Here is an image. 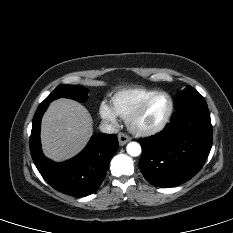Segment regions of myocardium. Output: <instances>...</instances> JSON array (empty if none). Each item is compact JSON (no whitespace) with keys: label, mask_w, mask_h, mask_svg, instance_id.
I'll return each mask as SVG.
<instances>
[{"label":"myocardium","mask_w":233,"mask_h":233,"mask_svg":"<svg viewBox=\"0 0 233 233\" xmlns=\"http://www.w3.org/2000/svg\"><path fill=\"white\" fill-rule=\"evenodd\" d=\"M165 95L169 99V109L164 119L155 127L152 128H140L137 126L136 121L138 117L143 113L147 105L157 96ZM174 111V101L171 95L165 91H156L146 97L143 101L139 103V105L130 113V115L126 118V123L129 130L138 136H152L159 132H161L169 123L172 114Z\"/></svg>","instance_id":"obj_1"}]
</instances>
